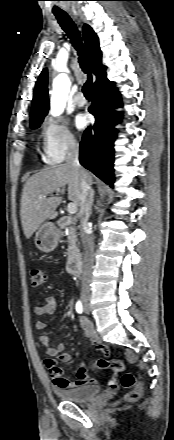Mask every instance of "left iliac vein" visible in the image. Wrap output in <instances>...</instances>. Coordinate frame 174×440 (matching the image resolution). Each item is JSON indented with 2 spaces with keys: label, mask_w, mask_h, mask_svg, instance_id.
<instances>
[{
  "label": "left iliac vein",
  "mask_w": 174,
  "mask_h": 440,
  "mask_svg": "<svg viewBox=\"0 0 174 440\" xmlns=\"http://www.w3.org/2000/svg\"><path fill=\"white\" fill-rule=\"evenodd\" d=\"M85 312L88 314L89 313V309L86 307L85 308Z\"/></svg>",
  "instance_id": "left-iliac-vein-1"
}]
</instances>
